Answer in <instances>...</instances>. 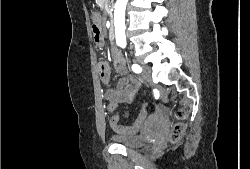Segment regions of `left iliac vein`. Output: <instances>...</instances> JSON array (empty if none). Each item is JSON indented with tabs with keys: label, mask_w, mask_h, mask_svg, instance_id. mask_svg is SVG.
Instances as JSON below:
<instances>
[{
	"label": "left iliac vein",
	"mask_w": 250,
	"mask_h": 169,
	"mask_svg": "<svg viewBox=\"0 0 250 169\" xmlns=\"http://www.w3.org/2000/svg\"><path fill=\"white\" fill-rule=\"evenodd\" d=\"M152 69L149 66H144L142 71V78L145 79L148 83H152Z\"/></svg>",
	"instance_id": "obj_1"
}]
</instances>
